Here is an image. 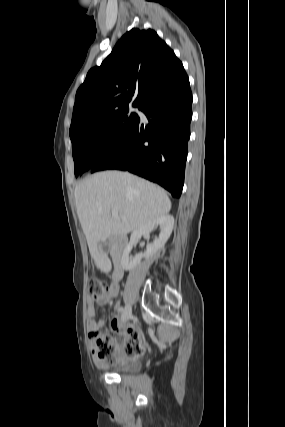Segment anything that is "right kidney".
Masks as SVG:
<instances>
[{"label": "right kidney", "mask_w": 285, "mask_h": 427, "mask_svg": "<svg viewBox=\"0 0 285 427\" xmlns=\"http://www.w3.org/2000/svg\"><path fill=\"white\" fill-rule=\"evenodd\" d=\"M157 226H159L161 230L159 237L147 245L145 253L137 254L135 257H130L129 254L140 237L143 235H149ZM173 226V216L166 214L148 222L145 226L139 228L138 230L133 231L130 237V242L125 246L122 254L121 265L123 269L129 271L135 268L143 257L147 259L153 258V256L165 245L169 239L173 230Z\"/></svg>", "instance_id": "obj_1"}]
</instances>
